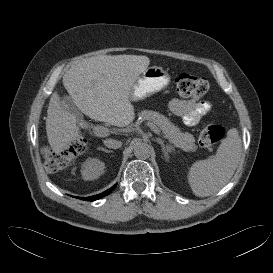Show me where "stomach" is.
Listing matches in <instances>:
<instances>
[{
	"instance_id": "0dacf381",
	"label": "stomach",
	"mask_w": 273,
	"mask_h": 273,
	"mask_svg": "<svg viewBox=\"0 0 273 273\" xmlns=\"http://www.w3.org/2000/svg\"><path fill=\"white\" fill-rule=\"evenodd\" d=\"M170 75L162 67L147 68L135 81L130 91V101L143 100L168 86Z\"/></svg>"
}]
</instances>
